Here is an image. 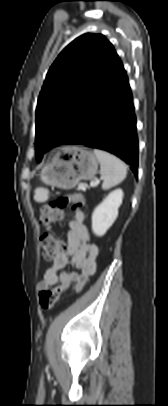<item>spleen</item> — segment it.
Masks as SVG:
<instances>
[{
    "mask_svg": "<svg viewBox=\"0 0 168 406\" xmlns=\"http://www.w3.org/2000/svg\"><path fill=\"white\" fill-rule=\"evenodd\" d=\"M94 154L100 163V174L103 179L102 189L108 190L121 183L127 175L126 165L114 155L105 151L94 149ZM48 190L38 188L36 190L37 198L43 200L48 198Z\"/></svg>",
    "mask_w": 168,
    "mask_h": 406,
    "instance_id": "obj_1",
    "label": "spleen"
}]
</instances>
